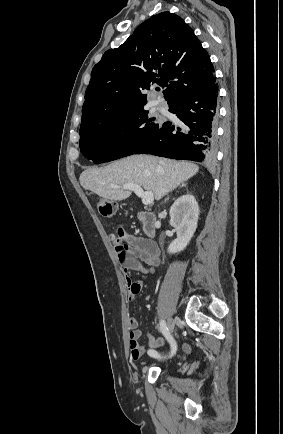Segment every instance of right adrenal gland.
<instances>
[{
    "label": "right adrenal gland",
    "instance_id": "2a0ac1e0",
    "mask_svg": "<svg viewBox=\"0 0 283 434\" xmlns=\"http://www.w3.org/2000/svg\"><path fill=\"white\" fill-rule=\"evenodd\" d=\"M182 187H186V184L182 183V185L179 188H182ZM168 200H169V196L164 200V203L167 202Z\"/></svg>",
    "mask_w": 283,
    "mask_h": 434
}]
</instances>
